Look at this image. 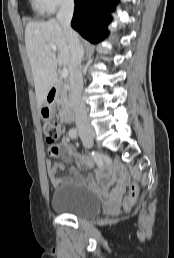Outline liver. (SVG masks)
Listing matches in <instances>:
<instances>
[{
  "instance_id": "1",
  "label": "liver",
  "mask_w": 174,
  "mask_h": 258,
  "mask_svg": "<svg viewBox=\"0 0 174 258\" xmlns=\"http://www.w3.org/2000/svg\"><path fill=\"white\" fill-rule=\"evenodd\" d=\"M50 44L57 47L58 55ZM25 45L32 69L38 108H41L57 81V67L70 64V48L61 24L56 19L30 22L25 28Z\"/></svg>"
}]
</instances>
